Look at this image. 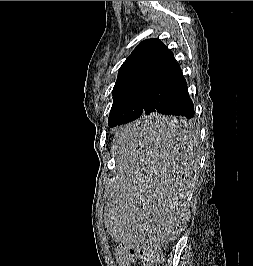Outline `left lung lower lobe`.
<instances>
[{
  "label": "left lung lower lobe",
  "instance_id": "1",
  "mask_svg": "<svg viewBox=\"0 0 253 266\" xmlns=\"http://www.w3.org/2000/svg\"><path fill=\"white\" fill-rule=\"evenodd\" d=\"M156 112L180 117L160 120L155 116ZM142 113L145 118L137 122V126L162 138L183 135L188 130L185 119L194 117V106L188 94L187 83L170 50L154 74Z\"/></svg>",
  "mask_w": 253,
  "mask_h": 266
}]
</instances>
